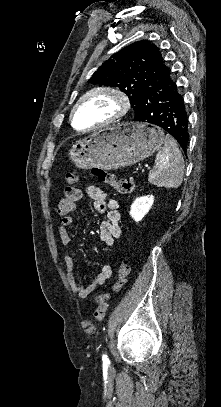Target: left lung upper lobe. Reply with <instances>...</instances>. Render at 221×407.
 <instances>
[{"mask_svg":"<svg viewBox=\"0 0 221 407\" xmlns=\"http://www.w3.org/2000/svg\"><path fill=\"white\" fill-rule=\"evenodd\" d=\"M167 70L158 47L141 40L114 53L88 81L118 87L127 94L135 111L142 89Z\"/></svg>","mask_w":221,"mask_h":407,"instance_id":"5c2ea615","label":"left lung upper lobe"}]
</instances>
